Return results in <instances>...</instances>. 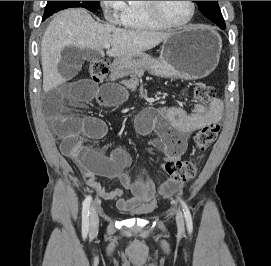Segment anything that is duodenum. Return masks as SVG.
<instances>
[{
  "label": "duodenum",
  "instance_id": "obj_1",
  "mask_svg": "<svg viewBox=\"0 0 271 266\" xmlns=\"http://www.w3.org/2000/svg\"><path fill=\"white\" fill-rule=\"evenodd\" d=\"M126 64L125 60H116L113 63V67H112V71H111V79L115 80L119 77L122 76L123 72H124V66Z\"/></svg>",
  "mask_w": 271,
  "mask_h": 266
}]
</instances>
